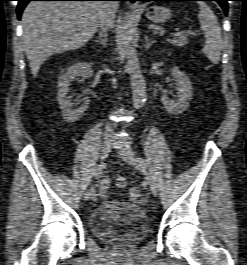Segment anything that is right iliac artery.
I'll use <instances>...</instances> for the list:
<instances>
[{
  "instance_id": "obj_1",
  "label": "right iliac artery",
  "mask_w": 247,
  "mask_h": 265,
  "mask_svg": "<svg viewBox=\"0 0 247 265\" xmlns=\"http://www.w3.org/2000/svg\"><path fill=\"white\" fill-rule=\"evenodd\" d=\"M103 168H104V165L103 164H100L98 165V167L96 168L95 170V177H100L103 173ZM89 196L90 198H92L93 200H96L97 198V193L95 191L94 188H91L90 191H89Z\"/></svg>"
}]
</instances>
